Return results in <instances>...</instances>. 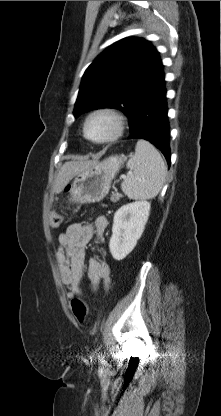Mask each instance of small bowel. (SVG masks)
Returning <instances> with one entry per match:
<instances>
[{
	"label": "small bowel",
	"mask_w": 221,
	"mask_h": 416,
	"mask_svg": "<svg viewBox=\"0 0 221 416\" xmlns=\"http://www.w3.org/2000/svg\"><path fill=\"white\" fill-rule=\"evenodd\" d=\"M108 220L103 215L96 216L92 222H75L58 235V248L55 252L58 269L67 296L72 298L81 294V281L85 267L91 287L96 290L100 283L105 287L110 283V267L105 258L91 257L86 263V249L95 238L101 241Z\"/></svg>",
	"instance_id": "c3829d8e"
}]
</instances>
